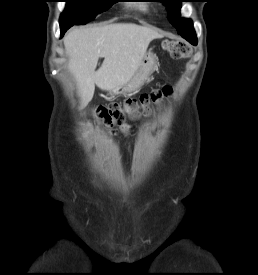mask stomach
<instances>
[{
	"label": "stomach",
	"instance_id": "1",
	"mask_svg": "<svg viewBox=\"0 0 258 275\" xmlns=\"http://www.w3.org/2000/svg\"><path fill=\"white\" fill-rule=\"evenodd\" d=\"M155 65L156 57L151 51H149L147 54H145L139 68L132 76L130 81L125 85L114 89L110 92V94L121 95L124 93H134L138 91L147 81L150 74L153 72Z\"/></svg>",
	"mask_w": 258,
	"mask_h": 275
}]
</instances>
